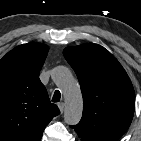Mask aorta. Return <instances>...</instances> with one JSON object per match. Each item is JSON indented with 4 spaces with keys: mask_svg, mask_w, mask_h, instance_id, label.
<instances>
[{
    "mask_svg": "<svg viewBox=\"0 0 141 141\" xmlns=\"http://www.w3.org/2000/svg\"><path fill=\"white\" fill-rule=\"evenodd\" d=\"M51 76L63 92L65 122L69 125L78 124L82 117L83 100L81 91L71 71L65 66H57L53 69Z\"/></svg>",
    "mask_w": 141,
    "mask_h": 141,
    "instance_id": "aorta-1",
    "label": "aorta"
}]
</instances>
